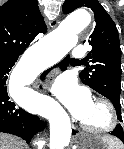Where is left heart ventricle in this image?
Returning <instances> with one entry per match:
<instances>
[{
  "instance_id": "b2bd125f",
  "label": "left heart ventricle",
  "mask_w": 124,
  "mask_h": 149,
  "mask_svg": "<svg viewBox=\"0 0 124 149\" xmlns=\"http://www.w3.org/2000/svg\"><path fill=\"white\" fill-rule=\"evenodd\" d=\"M82 121L93 127H103L108 122L106 108L94 102L92 108Z\"/></svg>"
}]
</instances>
